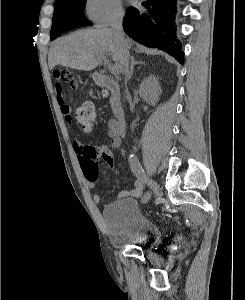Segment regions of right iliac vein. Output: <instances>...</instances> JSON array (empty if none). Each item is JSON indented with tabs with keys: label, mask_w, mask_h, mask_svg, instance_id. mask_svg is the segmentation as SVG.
Returning <instances> with one entry per match:
<instances>
[{
	"label": "right iliac vein",
	"mask_w": 245,
	"mask_h": 300,
	"mask_svg": "<svg viewBox=\"0 0 245 300\" xmlns=\"http://www.w3.org/2000/svg\"><path fill=\"white\" fill-rule=\"evenodd\" d=\"M150 187H151V189L153 190V192H154L155 194H158L159 188H158V185H157L155 182H153L152 185H151Z\"/></svg>",
	"instance_id": "right-iliac-vein-1"
}]
</instances>
